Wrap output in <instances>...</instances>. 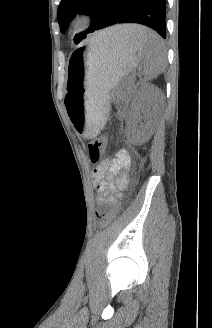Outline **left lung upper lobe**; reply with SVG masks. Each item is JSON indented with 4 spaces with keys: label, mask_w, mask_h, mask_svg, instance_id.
<instances>
[{
    "label": "left lung upper lobe",
    "mask_w": 212,
    "mask_h": 328,
    "mask_svg": "<svg viewBox=\"0 0 212 328\" xmlns=\"http://www.w3.org/2000/svg\"><path fill=\"white\" fill-rule=\"evenodd\" d=\"M105 2L106 0H61L57 12L61 32L63 33L67 29L69 22L77 12L89 14L92 17L91 26L87 31L74 37L75 43L81 42L86 37V34L93 32L98 25Z\"/></svg>",
    "instance_id": "5c2ea615"
}]
</instances>
